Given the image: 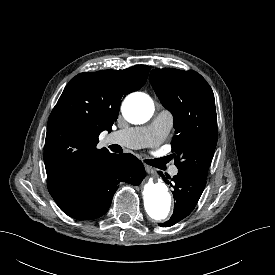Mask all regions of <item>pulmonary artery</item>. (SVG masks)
I'll list each match as a JSON object with an SVG mask.
<instances>
[{
  "label": "pulmonary artery",
  "mask_w": 275,
  "mask_h": 275,
  "mask_svg": "<svg viewBox=\"0 0 275 275\" xmlns=\"http://www.w3.org/2000/svg\"><path fill=\"white\" fill-rule=\"evenodd\" d=\"M171 124L172 115L167 110H161L150 125L117 130L110 135V140L132 149L155 146L165 138ZM177 173V167L173 166L170 174L174 176Z\"/></svg>",
  "instance_id": "1"
}]
</instances>
